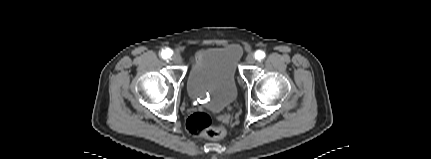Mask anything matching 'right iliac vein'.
<instances>
[{
  "label": "right iliac vein",
  "mask_w": 431,
  "mask_h": 159,
  "mask_svg": "<svg viewBox=\"0 0 431 159\" xmlns=\"http://www.w3.org/2000/svg\"><path fill=\"white\" fill-rule=\"evenodd\" d=\"M172 61L174 62V63H176V64H181L182 63V57L179 55V54H177V53H175L173 56H172Z\"/></svg>",
  "instance_id": "63e3f726"
}]
</instances>
